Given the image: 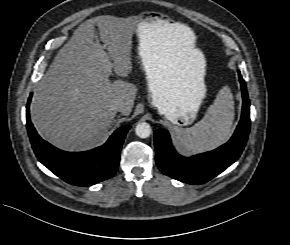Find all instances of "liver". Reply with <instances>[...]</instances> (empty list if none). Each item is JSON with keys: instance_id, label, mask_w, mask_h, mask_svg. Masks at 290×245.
Here are the masks:
<instances>
[{"instance_id": "6515ba94", "label": "liver", "mask_w": 290, "mask_h": 245, "mask_svg": "<svg viewBox=\"0 0 290 245\" xmlns=\"http://www.w3.org/2000/svg\"><path fill=\"white\" fill-rule=\"evenodd\" d=\"M95 25L103 45L95 41ZM163 29L162 37L183 66L192 67L193 55L201 51L194 48L190 29L179 23H167ZM135 30L134 20L99 16L74 31L34 89L31 119L45 140L63 150H86L109 130L115 101L123 103L122 114L131 113L137 87L121 79L110 82L107 73L112 68L120 77L131 73Z\"/></svg>"}]
</instances>
